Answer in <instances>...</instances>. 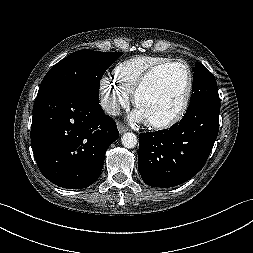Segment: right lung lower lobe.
<instances>
[{
    "mask_svg": "<svg viewBox=\"0 0 253 253\" xmlns=\"http://www.w3.org/2000/svg\"><path fill=\"white\" fill-rule=\"evenodd\" d=\"M118 137L115 121L99 101L61 90L37 95L31 145L41 173L57 186L82 189L93 184L106 150Z\"/></svg>",
    "mask_w": 253,
    "mask_h": 253,
    "instance_id": "1",
    "label": "right lung lower lobe"
}]
</instances>
